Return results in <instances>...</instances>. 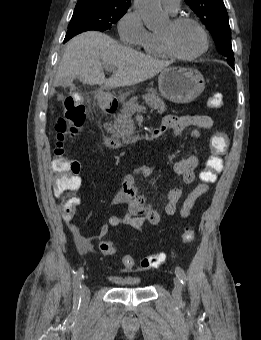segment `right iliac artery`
<instances>
[{
  "label": "right iliac artery",
  "mask_w": 261,
  "mask_h": 340,
  "mask_svg": "<svg viewBox=\"0 0 261 340\" xmlns=\"http://www.w3.org/2000/svg\"><path fill=\"white\" fill-rule=\"evenodd\" d=\"M84 270L80 267L74 276L73 287H74V307L79 308L81 303V281L83 278Z\"/></svg>",
  "instance_id": "obj_1"
}]
</instances>
